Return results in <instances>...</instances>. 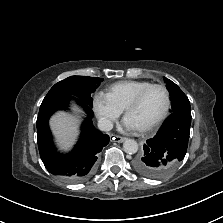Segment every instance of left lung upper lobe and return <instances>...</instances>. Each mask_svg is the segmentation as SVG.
<instances>
[{
  "label": "left lung upper lobe",
  "mask_w": 223,
  "mask_h": 223,
  "mask_svg": "<svg viewBox=\"0 0 223 223\" xmlns=\"http://www.w3.org/2000/svg\"><path fill=\"white\" fill-rule=\"evenodd\" d=\"M166 87L170 94L171 99V113L173 112H184L191 115L190 102L187 96L182 92V90L171 80L164 77Z\"/></svg>",
  "instance_id": "left-lung-upper-lobe-1"
}]
</instances>
